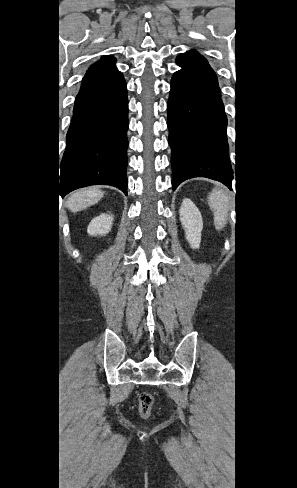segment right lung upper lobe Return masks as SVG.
Listing matches in <instances>:
<instances>
[{"label":"right lung upper lobe","mask_w":297,"mask_h":488,"mask_svg":"<svg viewBox=\"0 0 297 488\" xmlns=\"http://www.w3.org/2000/svg\"><path fill=\"white\" fill-rule=\"evenodd\" d=\"M120 75L122 74L115 67V58L113 56L101 57L100 61L89 68L83 78L76 101L95 94Z\"/></svg>","instance_id":"obj_1"}]
</instances>
